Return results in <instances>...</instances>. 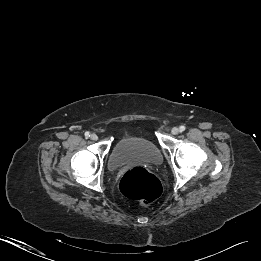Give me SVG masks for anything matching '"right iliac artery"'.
<instances>
[{
    "instance_id": "right-iliac-artery-1",
    "label": "right iliac artery",
    "mask_w": 261,
    "mask_h": 261,
    "mask_svg": "<svg viewBox=\"0 0 261 261\" xmlns=\"http://www.w3.org/2000/svg\"><path fill=\"white\" fill-rule=\"evenodd\" d=\"M85 137L86 138L90 137V133L89 132H85Z\"/></svg>"
}]
</instances>
